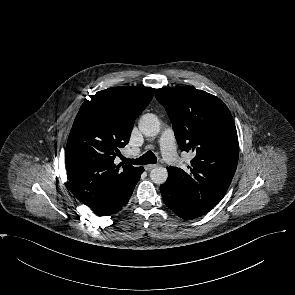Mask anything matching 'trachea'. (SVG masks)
I'll use <instances>...</instances> for the list:
<instances>
[{"label": "trachea", "mask_w": 295, "mask_h": 295, "mask_svg": "<svg viewBox=\"0 0 295 295\" xmlns=\"http://www.w3.org/2000/svg\"><path fill=\"white\" fill-rule=\"evenodd\" d=\"M122 161L124 163H131L135 165L155 164L157 162V157L153 152L148 151L137 159H128L123 157Z\"/></svg>", "instance_id": "3493384b"}]
</instances>
